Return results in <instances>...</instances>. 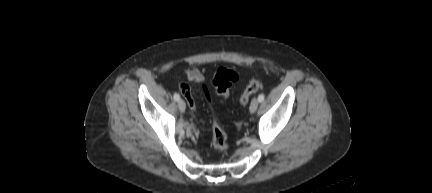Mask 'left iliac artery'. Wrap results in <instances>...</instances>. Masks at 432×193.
I'll return each instance as SVG.
<instances>
[{
	"label": "left iliac artery",
	"mask_w": 432,
	"mask_h": 193,
	"mask_svg": "<svg viewBox=\"0 0 432 193\" xmlns=\"http://www.w3.org/2000/svg\"><path fill=\"white\" fill-rule=\"evenodd\" d=\"M258 101H259V102H263V101H264V94H263V93H261V94L258 96Z\"/></svg>",
	"instance_id": "obj_1"
}]
</instances>
